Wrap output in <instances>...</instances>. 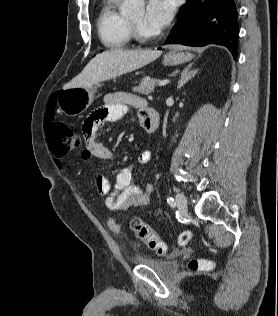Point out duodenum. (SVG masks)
<instances>
[{
	"instance_id": "obj_1",
	"label": "duodenum",
	"mask_w": 278,
	"mask_h": 316,
	"mask_svg": "<svg viewBox=\"0 0 278 316\" xmlns=\"http://www.w3.org/2000/svg\"><path fill=\"white\" fill-rule=\"evenodd\" d=\"M160 124L159 113L153 108H147L142 115V127L147 133H153Z\"/></svg>"
}]
</instances>
